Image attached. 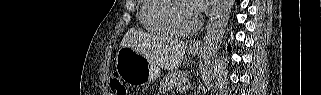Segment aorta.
Segmentation results:
<instances>
[{"instance_id": "1", "label": "aorta", "mask_w": 321, "mask_h": 95, "mask_svg": "<svg viewBox=\"0 0 321 95\" xmlns=\"http://www.w3.org/2000/svg\"><path fill=\"white\" fill-rule=\"evenodd\" d=\"M234 2L235 0H214L204 36L201 65V72L203 74L210 66L211 60L218 51Z\"/></svg>"}]
</instances>
